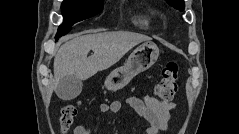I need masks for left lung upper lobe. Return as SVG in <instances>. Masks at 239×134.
Segmentation results:
<instances>
[{
    "instance_id": "1",
    "label": "left lung upper lobe",
    "mask_w": 239,
    "mask_h": 134,
    "mask_svg": "<svg viewBox=\"0 0 239 134\" xmlns=\"http://www.w3.org/2000/svg\"><path fill=\"white\" fill-rule=\"evenodd\" d=\"M166 2L179 11H183L185 8L184 0H166Z\"/></svg>"
}]
</instances>
